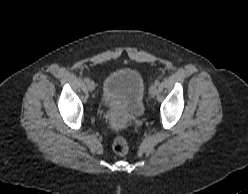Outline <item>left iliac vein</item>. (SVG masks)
Returning <instances> with one entry per match:
<instances>
[{"mask_svg":"<svg viewBox=\"0 0 248 194\" xmlns=\"http://www.w3.org/2000/svg\"><path fill=\"white\" fill-rule=\"evenodd\" d=\"M158 92L157 86L156 85H152L149 89V93L152 97L156 96Z\"/></svg>","mask_w":248,"mask_h":194,"instance_id":"obj_1","label":"left iliac vein"}]
</instances>
